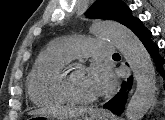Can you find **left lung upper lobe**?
Masks as SVG:
<instances>
[{
  "mask_svg": "<svg viewBox=\"0 0 165 120\" xmlns=\"http://www.w3.org/2000/svg\"><path fill=\"white\" fill-rule=\"evenodd\" d=\"M85 14L94 19H112L128 28L136 19L122 0H97Z\"/></svg>",
  "mask_w": 165,
  "mask_h": 120,
  "instance_id": "1",
  "label": "left lung upper lobe"
}]
</instances>
